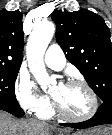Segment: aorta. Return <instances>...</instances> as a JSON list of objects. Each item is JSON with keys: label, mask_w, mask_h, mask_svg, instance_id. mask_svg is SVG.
Returning a JSON list of instances; mask_svg holds the SVG:
<instances>
[{"label": "aorta", "mask_w": 112, "mask_h": 135, "mask_svg": "<svg viewBox=\"0 0 112 135\" xmlns=\"http://www.w3.org/2000/svg\"><path fill=\"white\" fill-rule=\"evenodd\" d=\"M55 32L52 22H44L35 27L27 43V60L29 70L42 89H47L53 79L48 75L44 65V54Z\"/></svg>", "instance_id": "aorta-1"}]
</instances>
